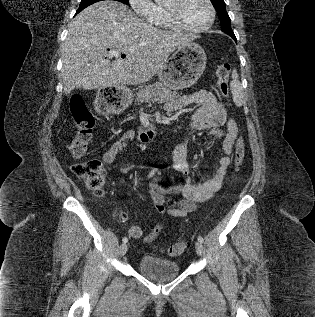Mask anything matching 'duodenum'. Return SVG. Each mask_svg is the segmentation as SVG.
<instances>
[{
    "instance_id": "1",
    "label": "duodenum",
    "mask_w": 315,
    "mask_h": 317,
    "mask_svg": "<svg viewBox=\"0 0 315 317\" xmlns=\"http://www.w3.org/2000/svg\"><path fill=\"white\" fill-rule=\"evenodd\" d=\"M158 134V130L154 127H151L143 132H141V134L139 135V138L142 142H148L152 139H154Z\"/></svg>"
}]
</instances>
